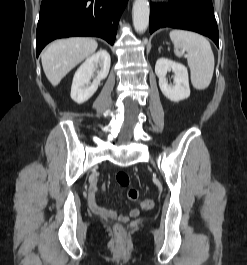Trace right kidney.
Wrapping results in <instances>:
<instances>
[{"mask_svg":"<svg viewBox=\"0 0 247 265\" xmlns=\"http://www.w3.org/2000/svg\"><path fill=\"white\" fill-rule=\"evenodd\" d=\"M111 58L109 53L101 49L97 53L88 57L85 62L76 71L72 86L71 98L78 104L86 102L98 89L101 80L105 79L110 70ZM100 68L97 70V68ZM97 70V71H96ZM97 76L91 83V78L94 77V72Z\"/></svg>","mask_w":247,"mask_h":265,"instance_id":"ca27d5eb","label":"right kidney"}]
</instances>
